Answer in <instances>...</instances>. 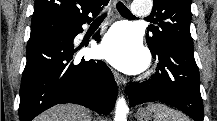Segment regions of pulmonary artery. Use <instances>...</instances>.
<instances>
[{
  "label": "pulmonary artery",
  "mask_w": 217,
  "mask_h": 121,
  "mask_svg": "<svg viewBox=\"0 0 217 121\" xmlns=\"http://www.w3.org/2000/svg\"><path fill=\"white\" fill-rule=\"evenodd\" d=\"M151 12L150 6L143 2H137L132 5V13L134 17L145 18Z\"/></svg>",
  "instance_id": "e3ab8cb5"
}]
</instances>
